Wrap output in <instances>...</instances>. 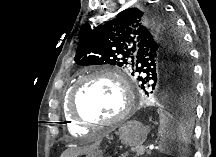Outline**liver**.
<instances>
[{"instance_id": "obj_1", "label": "liver", "mask_w": 216, "mask_h": 157, "mask_svg": "<svg viewBox=\"0 0 216 157\" xmlns=\"http://www.w3.org/2000/svg\"><path fill=\"white\" fill-rule=\"evenodd\" d=\"M101 142V138L98 137L95 139V143L89 147H81V148H71L65 151L61 157H77L79 155L83 154H90L92 153L99 145Z\"/></svg>"}]
</instances>
